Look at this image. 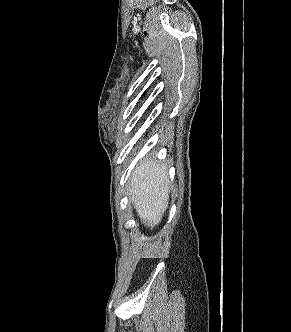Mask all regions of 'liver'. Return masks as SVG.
Listing matches in <instances>:
<instances>
[{
    "label": "liver",
    "mask_w": 291,
    "mask_h": 332,
    "mask_svg": "<svg viewBox=\"0 0 291 332\" xmlns=\"http://www.w3.org/2000/svg\"><path fill=\"white\" fill-rule=\"evenodd\" d=\"M130 179L129 192L138 216L149 227L158 225L169 201L166 164L146 157L133 170Z\"/></svg>",
    "instance_id": "obj_1"
}]
</instances>
